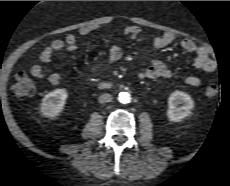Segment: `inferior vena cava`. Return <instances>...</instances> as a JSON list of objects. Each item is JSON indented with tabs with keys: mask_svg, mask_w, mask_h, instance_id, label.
Here are the masks:
<instances>
[{
	"mask_svg": "<svg viewBox=\"0 0 230 186\" xmlns=\"http://www.w3.org/2000/svg\"><path fill=\"white\" fill-rule=\"evenodd\" d=\"M113 99L112 95H110L109 93H104L102 94L101 96H99V102L104 104V103H107V102H111Z\"/></svg>",
	"mask_w": 230,
	"mask_h": 186,
	"instance_id": "obj_1",
	"label": "inferior vena cava"
}]
</instances>
